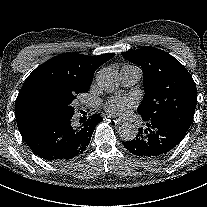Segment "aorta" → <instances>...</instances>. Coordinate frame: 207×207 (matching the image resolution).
<instances>
[{"label": "aorta", "mask_w": 207, "mask_h": 207, "mask_svg": "<svg viewBox=\"0 0 207 207\" xmlns=\"http://www.w3.org/2000/svg\"><path fill=\"white\" fill-rule=\"evenodd\" d=\"M96 80L99 87L107 92L115 91L120 85L118 73L111 68H101L97 72ZM118 133L122 140L130 141L137 136L138 129L134 124L125 122L119 127Z\"/></svg>", "instance_id": "obj_1"}]
</instances>
